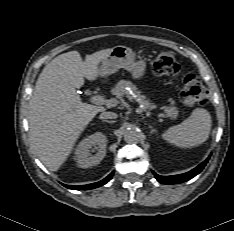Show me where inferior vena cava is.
<instances>
[{
    "label": "inferior vena cava",
    "mask_w": 234,
    "mask_h": 231,
    "mask_svg": "<svg viewBox=\"0 0 234 231\" xmlns=\"http://www.w3.org/2000/svg\"><path fill=\"white\" fill-rule=\"evenodd\" d=\"M100 118H101V119H115V118H117V114L114 113V112H106V111H103V112L100 114Z\"/></svg>",
    "instance_id": "obj_1"
}]
</instances>
